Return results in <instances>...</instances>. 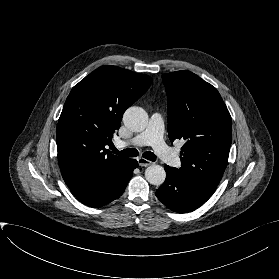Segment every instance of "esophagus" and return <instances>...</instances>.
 Instances as JSON below:
<instances>
[{
	"instance_id": "1",
	"label": "esophagus",
	"mask_w": 279,
	"mask_h": 279,
	"mask_svg": "<svg viewBox=\"0 0 279 279\" xmlns=\"http://www.w3.org/2000/svg\"><path fill=\"white\" fill-rule=\"evenodd\" d=\"M137 161H138V164H139L140 166H142V167H147V166H150V165L152 164L151 161H149V160H147V159H145V158H142V157H139V158L137 159Z\"/></svg>"
}]
</instances>
